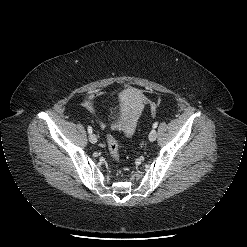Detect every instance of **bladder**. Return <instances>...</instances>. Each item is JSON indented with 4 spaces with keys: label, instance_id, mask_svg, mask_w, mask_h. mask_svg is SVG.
<instances>
[{
    "label": "bladder",
    "instance_id": "obj_1",
    "mask_svg": "<svg viewBox=\"0 0 247 247\" xmlns=\"http://www.w3.org/2000/svg\"><path fill=\"white\" fill-rule=\"evenodd\" d=\"M133 121V116L119 110L118 108L112 109L109 115V123L111 128L123 134L130 132Z\"/></svg>",
    "mask_w": 247,
    "mask_h": 247
}]
</instances>
